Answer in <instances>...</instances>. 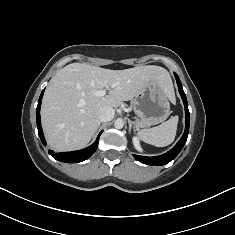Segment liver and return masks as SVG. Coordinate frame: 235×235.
Here are the masks:
<instances>
[{
  "mask_svg": "<svg viewBox=\"0 0 235 235\" xmlns=\"http://www.w3.org/2000/svg\"><path fill=\"white\" fill-rule=\"evenodd\" d=\"M152 81H157L169 99L174 98L168 71L160 66H137L110 70L86 63H72L62 68L46 88L41 119L47 143L56 151L84 147L94 136L102 107H119L132 100ZM110 87L106 96L98 90Z\"/></svg>",
  "mask_w": 235,
  "mask_h": 235,
  "instance_id": "6515ba94",
  "label": "liver"
}]
</instances>
